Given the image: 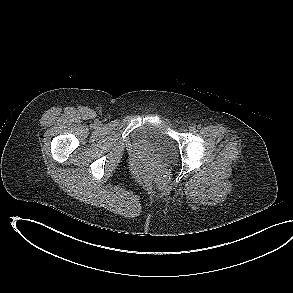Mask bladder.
Returning <instances> with one entry per match:
<instances>
[{"label":"bladder","mask_w":293,"mask_h":293,"mask_svg":"<svg viewBox=\"0 0 293 293\" xmlns=\"http://www.w3.org/2000/svg\"><path fill=\"white\" fill-rule=\"evenodd\" d=\"M135 141L151 151L159 160L170 161L177 154V146L165 123H146L137 129Z\"/></svg>","instance_id":"1"}]
</instances>
